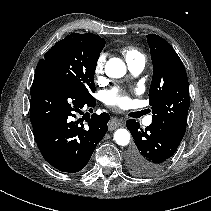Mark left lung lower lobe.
<instances>
[{
  "label": "left lung lower lobe",
  "instance_id": "0a47b994",
  "mask_svg": "<svg viewBox=\"0 0 211 211\" xmlns=\"http://www.w3.org/2000/svg\"><path fill=\"white\" fill-rule=\"evenodd\" d=\"M135 146L128 154V165L132 174L148 177L159 173L177 151L180 142L154 125L145 130L134 119L126 121Z\"/></svg>",
  "mask_w": 211,
  "mask_h": 211
}]
</instances>
